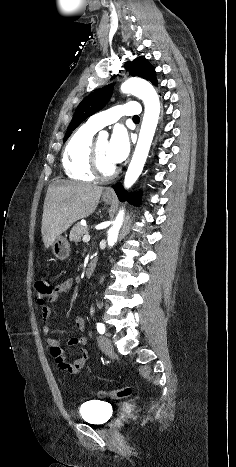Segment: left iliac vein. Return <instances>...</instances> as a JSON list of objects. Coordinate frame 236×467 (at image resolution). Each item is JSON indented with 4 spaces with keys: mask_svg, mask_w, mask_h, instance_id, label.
<instances>
[{
    "mask_svg": "<svg viewBox=\"0 0 236 467\" xmlns=\"http://www.w3.org/2000/svg\"><path fill=\"white\" fill-rule=\"evenodd\" d=\"M98 344H99V347L100 349L106 353V354H110L113 352V345H112V342L111 340L105 336V335H100L98 337Z\"/></svg>",
    "mask_w": 236,
    "mask_h": 467,
    "instance_id": "left-iliac-vein-1",
    "label": "left iliac vein"
}]
</instances>
